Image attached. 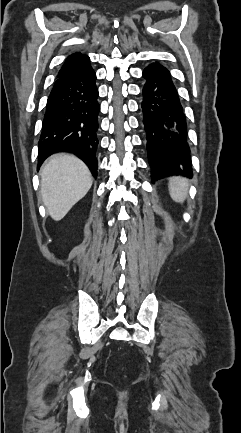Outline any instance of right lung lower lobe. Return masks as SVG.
Returning a JSON list of instances; mask_svg holds the SVG:
<instances>
[{
  "instance_id": "1",
  "label": "right lung lower lobe",
  "mask_w": 241,
  "mask_h": 433,
  "mask_svg": "<svg viewBox=\"0 0 241 433\" xmlns=\"http://www.w3.org/2000/svg\"><path fill=\"white\" fill-rule=\"evenodd\" d=\"M89 62L58 77L47 100L39 140V166L52 153L68 151L97 176L98 89Z\"/></svg>"
}]
</instances>
